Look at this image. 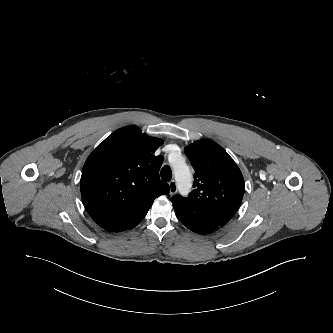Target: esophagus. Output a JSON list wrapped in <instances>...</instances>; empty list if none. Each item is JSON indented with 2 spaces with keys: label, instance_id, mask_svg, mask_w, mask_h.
Returning a JSON list of instances; mask_svg holds the SVG:
<instances>
[{
  "label": "esophagus",
  "instance_id": "34e87169",
  "mask_svg": "<svg viewBox=\"0 0 333 333\" xmlns=\"http://www.w3.org/2000/svg\"><path fill=\"white\" fill-rule=\"evenodd\" d=\"M177 192V184L175 182V180H171L169 182V193L170 195H173Z\"/></svg>",
  "mask_w": 333,
  "mask_h": 333
}]
</instances>
